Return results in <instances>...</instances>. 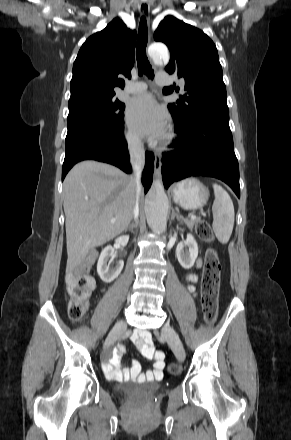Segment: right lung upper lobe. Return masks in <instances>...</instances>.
I'll return each mask as SVG.
<instances>
[{"instance_id":"1","label":"right lung upper lobe","mask_w":291,"mask_h":440,"mask_svg":"<svg viewBox=\"0 0 291 440\" xmlns=\"http://www.w3.org/2000/svg\"><path fill=\"white\" fill-rule=\"evenodd\" d=\"M136 31L119 19L90 36L80 48L73 64L70 84L73 101L86 96L115 95L114 88L125 86L121 75L131 77Z\"/></svg>"}]
</instances>
